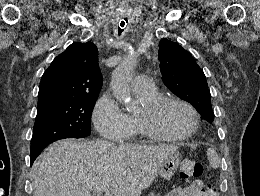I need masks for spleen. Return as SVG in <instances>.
Segmentation results:
<instances>
[{
  "label": "spleen",
  "mask_w": 260,
  "mask_h": 196,
  "mask_svg": "<svg viewBox=\"0 0 260 196\" xmlns=\"http://www.w3.org/2000/svg\"><path fill=\"white\" fill-rule=\"evenodd\" d=\"M207 158L209 160V164L211 168H214V170H217L220 166V160L217 152L213 150V148H208L207 150Z\"/></svg>",
  "instance_id": "obj_1"
}]
</instances>
